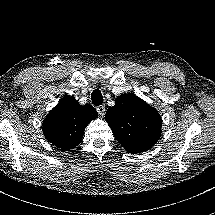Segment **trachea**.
<instances>
[{
	"mask_svg": "<svg viewBox=\"0 0 215 215\" xmlns=\"http://www.w3.org/2000/svg\"><path fill=\"white\" fill-rule=\"evenodd\" d=\"M92 103L100 106L103 103V96L99 89H95L91 94Z\"/></svg>",
	"mask_w": 215,
	"mask_h": 215,
	"instance_id": "trachea-1",
	"label": "trachea"
}]
</instances>
